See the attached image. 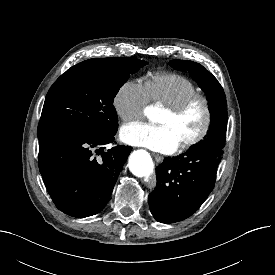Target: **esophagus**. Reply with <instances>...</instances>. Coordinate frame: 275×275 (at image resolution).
Returning <instances> with one entry per match:
<instances>
[{
  "instance_id": "obj_1",
  "label": "esophagus",
  "mask_w": 275,
  "mask_h": 275,
  "mask_svg": "<svg viewBox=\"0 0 275 275\" xmlns=\"http://www.w3.org/2000/svg\"><path fill=\"white\" fill-rule=\"evenodd\" d=\"M153 157L156 160V162H158V163H161L163 161V157L161 155H159V154H155L154 153Z\"/></svg>"
}]
</instances>
